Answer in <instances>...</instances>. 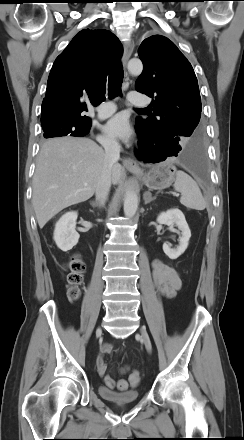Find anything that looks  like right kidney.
<instances>
[{"label": "right kidney", "instance_id": "1", "mask_svg": "<svg viewBox=\"0 0 244 440\" xmlns=\"http://www.w3.org/2000/svg\"><path fill=\"white\" fill-rule=\"evenodd\" d=\"M77 217V212H67L55 225L53 239L57 247L64 252L71 250L78 243L80 235L76 231Z\"/></svg>", "mask_w": 244, "mask_h": 440}]
</instances>
